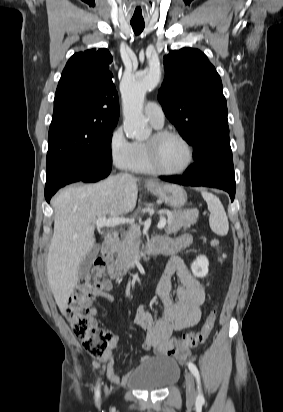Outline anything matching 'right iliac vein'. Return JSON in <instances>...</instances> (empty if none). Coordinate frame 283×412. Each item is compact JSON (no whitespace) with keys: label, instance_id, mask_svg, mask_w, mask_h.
Returning <instances> with one entry per match:
<instances>
[{"label":"right iliac vein","instance_id":"right-iliac-vein-1","mask_svg":"<svg viewBox=\"0 0 283 412\" xmlns=\"http://www.w3.org/2000/svg\"><path fill=\"white\" fill-rule=\"evenodd\" d=\"M105 394H106V396H108V394H109V391H108L107 388L105 389Z\"/></svg>","mask_w":283,"mask_h":412}]
</instances>
